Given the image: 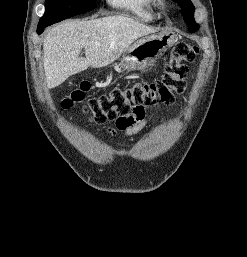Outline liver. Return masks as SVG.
<instances>
[{
  "label": "liver",
  "mask_w": 247,
  "mask_h": 257,
  "mask_svg": "<svg viewBox=\"0 0 247 257\" xmlns=\"http://www.w3.org/2000/svg\"><path fill=\"white\" fill-rule=\"evenodd\" d=\"M155 32L154 28L121 15L55 25L43 42L47 87H57L88 67L113 63L135 40ZM83 48L85 57H80Z\"/></svg>",
  "instance_id": "1"
}]
</instances>
